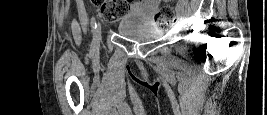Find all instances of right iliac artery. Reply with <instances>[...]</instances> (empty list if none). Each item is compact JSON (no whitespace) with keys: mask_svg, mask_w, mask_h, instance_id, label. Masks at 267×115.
I'll return each mask as SVG.
<instances>
[{"mask_svg":"<svg viewBox=\"0 0 267 115\" xmlns=\"http://www.w3.org/2000/svg\"><path fill=\"white\" fill-rule=\"evenodd\" d=\"M91 27H92V32L94 34V37H95V32H96V28H97V24H96V20H95V17H92V20H91ZM95 40V38H93Z\"/></svg>","mask_w":267,"mask_h":115,"instance_id":"1","label":"right iliac artery"}]
</instances>
